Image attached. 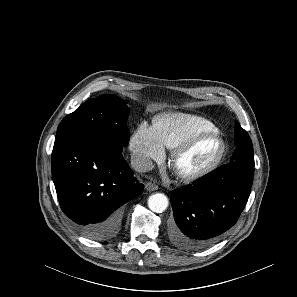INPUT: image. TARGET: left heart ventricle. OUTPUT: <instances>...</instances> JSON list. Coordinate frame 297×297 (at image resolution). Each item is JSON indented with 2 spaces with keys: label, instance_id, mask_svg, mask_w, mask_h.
<instances>
[{
  "label": "left heart ventricle",
  "instance_id": "obj_1",
  "mask_svg": "<svg viewBox=\"0 0 297 297\" xmlns=\"http://www.w3.org/2000/svg\"><path fill=\"white\" fill-rule=\"evenodd\" d=\"M218 147V141L213 137L199 141L179 159V169L185 172H193L204 167L215 156Z\"/></svg>",
  "mask_w": 297,
  "mask_h": 297
}]
</instances>
